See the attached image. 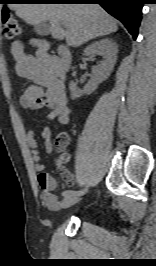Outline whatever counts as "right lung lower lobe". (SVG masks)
Instances as JSON below:
<instances>
[{"label": "right lung lower lobe", "mask_w": 156, "mask_h": 266, "mask_svg": "<svg viewBox=\"0 0 156 266\" xmlns=\"http://www.w3.org/2000/svg\"><path fill=\"white\" fill-rule=\"evenodd\" d=\"M146 0H46L57 4H100L109 14L120 20L135 40Z\"/></svg>", "instance_id": "98d812e1"}]
</instances>
